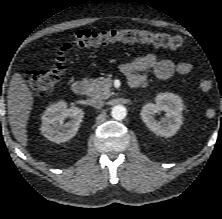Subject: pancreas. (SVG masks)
<instances>
[{
  "instance_id": "cf45deb5",
  "label": "pancreas",
  "mask_w": 222,
  "mask_h": 219,
  "mask_svg": "<svg viewBox=\"0 0 222 219\" xmlns=\"http://www.w3.org/2000/svg\"><path fill=\"white\" fill-rule=\"evenodd\" d=\"M87 94L91 97L107 99L111 96V91L106 84L97 79H87Z\"/></svg>"
}]
</instances>
